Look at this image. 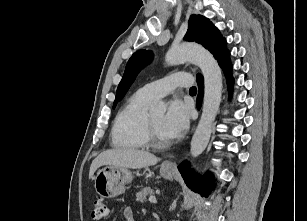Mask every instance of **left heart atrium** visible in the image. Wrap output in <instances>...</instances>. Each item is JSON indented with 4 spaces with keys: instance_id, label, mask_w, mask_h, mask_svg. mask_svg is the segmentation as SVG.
<instances>
[{
    "instance_id": "1",
    "label": "left heart atrium",
    "mask_w": 307,
    "mask_h": 221,
    "mask_svg": "<svg viewBox=\"0 0 307 221\" xmlns=\"http://www.w3.org/2000/svg\"><path fill=\"white\" fill-rule=\"evenodd\" d=\"M190 108L179 99L171 101L163 121V130L168 139L179 137L188 127Z\"/></svg>"
}]
</instances>
